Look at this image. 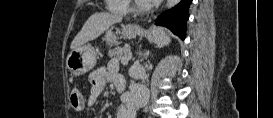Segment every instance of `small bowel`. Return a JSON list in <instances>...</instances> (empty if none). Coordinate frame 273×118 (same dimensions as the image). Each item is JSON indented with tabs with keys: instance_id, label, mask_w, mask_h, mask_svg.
Segmentation results:
<instances>
[{
	"instance_id": "obj_1",
	"label": "small bowel",
	"mask_w": 273,
	"mask_h": 118,
	"mask_svg": "<svg viewBox=\"0 0 273 118\" xmlns=\"http://www.w3.org/2000/svg\"><path fill=\"white\" fill-rule=\"evenodd\" d=\"M116 80H124L116 67L101 68L93 72L90 75L91 89L86 102L87 106H95L106 84L108 82L114 83ZM134 100V95L122 100L124 107L119 110L117 118H133L135 116Z\"/></svg>"
}]
</instances>
